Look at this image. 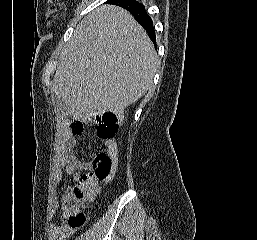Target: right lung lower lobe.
<instances>
[{
	"label": "right lung lower lobe",
	"instance_id": "98d812e1",
	"mask_svg": "<svg viewBox=\"0 0 257 240\" xmlns=\"http://www.w3.org/2000/svg\"><path fill=\"white\" fill-rule=\"evenodd\" d=\"M128 10L137 20V22L148 32L152 42L156 43V36L153 28V23L150 16L147 14L144 6L136 0H127L124 5H118Z\"/></svg>",
	"mask_w": 257,
	"mask_h": 240
}]
</instances>
